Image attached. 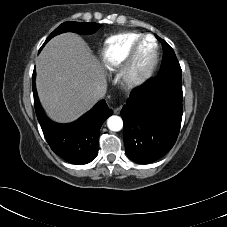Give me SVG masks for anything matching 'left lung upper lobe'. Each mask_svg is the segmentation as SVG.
Segmentation results:
<instances>
[{
	"instance_id": "5c2ea615",
	"label": "left lung upper lobe",
	"mask_w": 227,
	"mask_h": 227,
	"mask_svg": "<svg viewBox=\"0 0 227 227\" xmlns=\"http://www.w3.org/2000/svg\"><path fill=\"white\" fill-rule=\"evenodd\" d=\"M158 39L162 42L163 60L157 76H171L174 78L181 79L182 70L176 58L174 50L166 43V41H164L160 37H158Z\"/></svg>"
}]
</instances>
